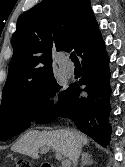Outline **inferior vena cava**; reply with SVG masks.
<instances>
[{
    "mask_svg": "<svg viewBox=\"0 0 125 167\" xmlns=\"http://www.w3.org/2000/svg\"><path fill=\"white\" fill-rule=\"evenodd\" d=\"M72 134H73V136L77 139L75 150H76V157H77V159H78V157H79V155H80V144L78 143L79 134H78V132H76V131H74V130L72 131ZM74 167H75V166H74Z\"/></svg>",
    "mask_w": 125,
    "mask_h": 167,
    "instance_id": "602c4592",
    "label": "inferior vena cava"
}]
</instances>
